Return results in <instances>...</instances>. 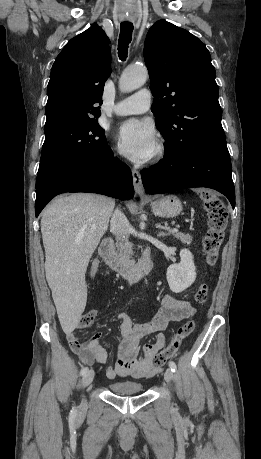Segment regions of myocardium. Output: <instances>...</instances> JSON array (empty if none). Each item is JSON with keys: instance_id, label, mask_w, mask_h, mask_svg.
<instances>
[{"instance_id": "1", "label": "myocardium", "mask_w": 261, "mask_h": 459, "mask_svg": "<svg viewBox=\"0 0 261 459\" xmlns=\"http://www.w3.org/2000/svg\"><path fill=\"white\" fill-rule=\"evenodd\" d=\"M165 154V146L162 143H159L156 146L155 152H154V159L158 160L161 159Z\"/></svg>"}]
</instances>
